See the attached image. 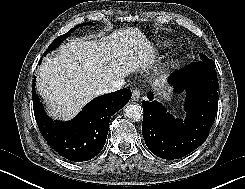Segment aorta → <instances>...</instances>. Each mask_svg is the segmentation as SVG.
Wrapping results in <instances>:
<instances>
[{"instance_id": "aorta-1", "label": "aorta", "mask_w": 245, "mask_h": 189, "mask_svg": "<svg viewBox=\"0 0 245 189\" xmlns=\"http://www.w3.org/2000/svg\"><path fill=\"white\" fill-rule=\"evenodd\" d=\"M124 113L128 119L139 121L142 118L143 110L140 105L136 103H130L125 107Z\"/></svg>"}]
</instances>
